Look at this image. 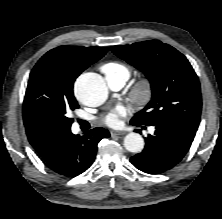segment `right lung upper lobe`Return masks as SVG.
<instances>
[{"mask_svg": "<svg viewBox=\"0 0 222 219\" xmlns=\"http://www.w3.org/2000/svg\"><path fill=\"white\" fill-rule=\"evenodd\" d=\"M106 50V47L59 46L43 57H55L59 60L60 65L54 75V82L59 88L73 92L75 79L91 64L102 58ZM23 117L28 140L43 159L48 157L59 140L70 130L24 115Z\"/></svg>", "mask_w": 222, "mask_h": 219, "instance_id": "obj_1", "label": "right lung upper lobe"}]
</instances>
